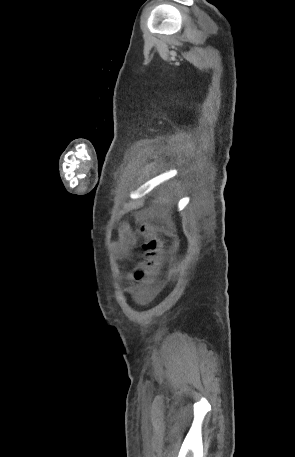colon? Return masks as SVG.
<instances>
[{
	"label": "colon",
	"mask_w": 295,
	"mask_h": 457,
	"mask_svg": "<svg viewBox=\"0 0 295 457\" xmlns=\"http://www.w3.org/2000/svg\"><path fill=\"white\" fill-rule=\"evenodd\" d=\"M141 235L143 237L142 249L144 251V260L133 272V279L137 283L146 284L147 279L154 274L160 265L164 249L172 238L171 236L157 231L150 224L141 226Z\"/></svg>",
	"instance_id": "obj_1"
}]
</instances>
